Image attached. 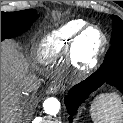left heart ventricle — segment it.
<instances>
[{
  "label": "left heart ventricle",
  "instance_id": "1",
  "mask_svg": "<svg viewBox=\"0 0 123 123\" xmlns=\"http://www.w3.org/2000/svg\"><path fill=\"white\" fill-rule=\"evenodd\" d=\"M101 37L98 32L91 29L87 32L85 38L80 41L79 49H82L86 55H91L95 49L99 46Z\"/></svg>",
  "mask_w": 123,
  "mask_h": 123
}]
</instances>
